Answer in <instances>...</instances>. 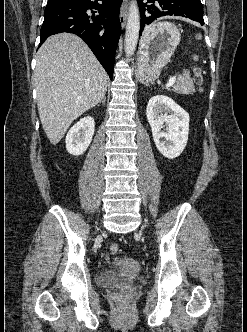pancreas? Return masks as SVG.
Listing matches in <instances>:
<instances>
[{
	"instance_id": "pancreas-1",
	"label": "pancreas",
	"mask_w": 247,
	"mask_h": 332,
	"mask_svg": "<svg viewBox=\"0 0 247 332\" xmlns=\"http://www.w3.org/2000/svg\"><path fill=\"white\" fill-rule=\"evenodd\" d=\"M176 93L192 94L195 92L193 81L190 79L189 74L178 75L176 84L172 89Z\"/></svg>"
}]
</instances>
